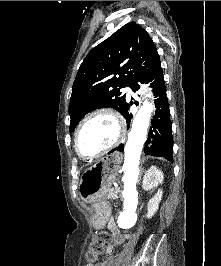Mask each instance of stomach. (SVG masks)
<instances>
[{
	"instance_id": "1",
	"label": "stomach",
	"mask_w": 221,
	"mask_h": 266,
	"mask_svg": "<svg viewBox=\"0 0 221 266\" xmlns=\"http://www.w3.org/2000/svg\"><path fill=\"white\" fill-rule=\"evenodd\" d=\"M121 156L117 153L106 155L82 175L79 183L81 200L94 209L93 224L98 226L107 217L108 207L104 202L106 193L115 180Z\"/></svg>"
}]
</instances>
